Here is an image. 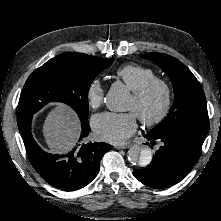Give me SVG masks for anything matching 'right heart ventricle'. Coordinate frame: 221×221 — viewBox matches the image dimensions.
<instances>
[{"label":"right heart ventricle","instance_id":"right-heart-ventricle-1","mask_svg":"<svg viewBox=\"0 0 221 221\" xmlns=\"http://www.w3.org/2000/svg\"><path fill=\"white\" fill-rule=\"evenodd\" d=\"M115 74L132 91L156 77L152 69L138 64L123 65L116 70Z\"/></svg>","mask_w":221,"mask_h":221}]
</instances>
